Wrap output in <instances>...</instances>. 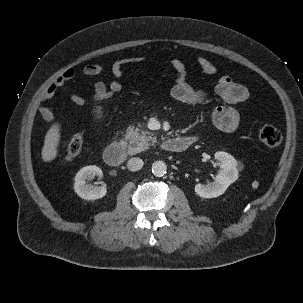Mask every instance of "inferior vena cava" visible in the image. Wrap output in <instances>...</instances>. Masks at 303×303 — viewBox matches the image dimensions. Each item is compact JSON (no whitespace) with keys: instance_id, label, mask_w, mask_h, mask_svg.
Returning a JSON list of instances; mask_svg holds the SVG:
<instances>
[{"instance_id":"obj_1","label":"inferior vena cava","mask_w":303,"mask_h":303,"mask_svg":"<svg viewBox=\"0 0 303 303\" xmlns=\"http://www.w3.org/2000/svg\"><path fill=\"white\" fill-rule=\"evenodd\" d=\"M144 162L140 158L133 157L127 163V168L130 171H138L143 167Z\"/></svg>"}]
</instances>
